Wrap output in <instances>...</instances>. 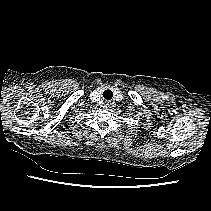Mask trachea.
<instances>
[{
  "mask_svg": "<svg viewBox=\"0 0 211 211\" xmlns=\"http://www.w3.org/2000/svg\"><path fill=\"white\" fill-rule=\"evenodd\" d=\"M105 99L110 100L113 97V92L109 89L105 90L103 93Z\"/></svg>",
  "mask_w": 211,
  "mask_h": 211,
  "instance_id": "obj_1",
  "label": "trachea"
}]
</instances>
